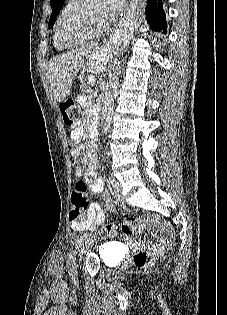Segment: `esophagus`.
<instances>
[{
  "label": "esophagus",
  "instance_id": "34e87169",
  "mask_svg": "<svg viewBox=\"0 0 227 315\" xmlns=\"http://www.w3.org/2000/svg\"><path fill=\"white\" fill-rule=\"evenodd\" d=\"M129 14H130V6H127L126 13H124V16L119 20L118 25L112 30L108 39L105 40V43L109 45V43L111 44V42L117 37L118 28H120L123 25V23L126 21Z\"/></svg>",
  "mask_w": 227,
  "mask_h": 315
}]
</instances>
